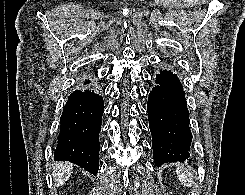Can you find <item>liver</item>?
<instances>
[{
	"label": "liver",
	"mask_w": 245,
	"mask_h": 195,
	"mask_svg": "<svg viewBox=\"0 0 245 195\" xmlns=\"http://www.w3.org/2000/svg\"><path fill=\"white\" fill-rule=\"evenodd\" d=\"M73 164L69 162H57L53 167V177L56 186H61L72 174Z\"/></svg>",
	"instance_id": "liver-1"
}]
</instances>
